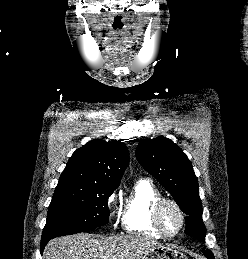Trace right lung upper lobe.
I'll return each instance as SVG.
<instances>
[{
	"instance_id": "right-lung-upper-lobe-1",
	"label": "right lung upper lobe",
	"mask_w": 248,
	"mask_h": 259,
	"mask_svg": "<svg viewBox=\"0 0 248 259\" xmlns=\"http://www.w3.org/2000/svg\"><path fill=\"white\" fill-rule=\"evenodd\" d=\"M128 163L129 152L123 142L92 140L73 153L59 178L57 187L117 188Z\"/></svg>"
}]
</instances>
